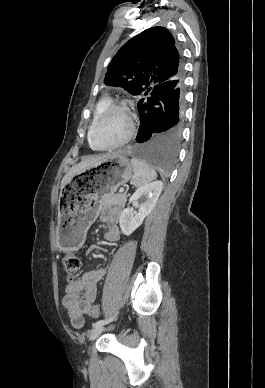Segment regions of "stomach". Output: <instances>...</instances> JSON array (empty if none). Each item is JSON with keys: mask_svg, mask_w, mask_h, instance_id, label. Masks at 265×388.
Masks as SVG:
<instances>
[{"mask_svg": "<svg viewBox=\"0 0 265 388\" xmlns=\"http://www.w3.org/2000/svg\"><path fill=\"white\" fill-rule=\"evenodd\" d=\"M132 177V164L123 153H113L72 176L58 201L57 245L78 250L96 219L103 196L114 193Z\"/></svg>", "mask_w": 265, "mask_h": 388, "instance_id": "obj_1", "label": "stomach"}]
</instances>
